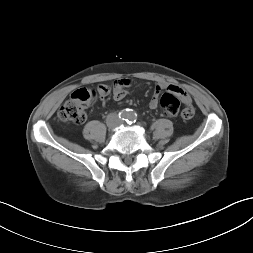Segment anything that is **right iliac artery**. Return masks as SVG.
<instances>
[{
	"mask_svg": "<svg viewBox=\"0 0 253 253\" xmlns=\"http://www.w3.org/2000/svg\"><path fill=\"white\" fill-rule=\"evenodd\" d=\"M128 117H129V113L126 112L125 110H123L119 113V118L122 120H128Z\"/></svg>",
	"mask_w": 253,
	"mask_h": 253,
	"instance_id": "right-iliac-artery-1",
	"label": "right iliac artery"
}]
</instances>
